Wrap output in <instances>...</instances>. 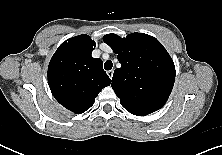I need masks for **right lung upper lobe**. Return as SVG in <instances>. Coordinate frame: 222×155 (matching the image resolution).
<instances>
[{"label": "right lung upper lobe", "mask_w": 222, "mask_h": 155, "mask_svg": "<svg viewBox=\"0 0 222 155\" xmlns=\"http://www.w3.org/2000/svg\"><path fill=\"white\" fill-rule=\"evenodd\" d=\"M95 46L88 35L75 36L58 47L49 63L48 83L53 96L76 114L87 111L98 93L111 83L102 60L91 56Z\"/></svg>", "instance_id": "cb5924a9"}]
</instances>
